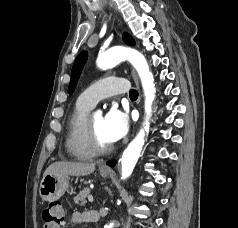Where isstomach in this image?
<instances>
[{
	"instance_id": "stomach-1",
	"label": "stomach",
	"mask_w": 238,
	"mask_h": 228,
	"mask_svg": "<svg viewBox=\"0 0 238 228\" xmlns=\"http://www.w3.org/2000/svg\"><path fill=\"white\" fill-rule=\"evenodd\" d=\"M100 175L104 178L110 175L109 172L100 171ZM69 187V177L63 174H47L44 175L40 187L39 194L44 201H55L59 199Z\"/></svg>"
}]
</instances>
